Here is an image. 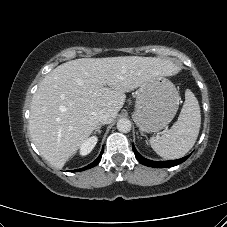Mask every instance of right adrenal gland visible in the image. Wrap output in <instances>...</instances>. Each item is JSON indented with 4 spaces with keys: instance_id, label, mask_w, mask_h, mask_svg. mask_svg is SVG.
<instances>
[{
    "instance_id": "right-adrenal-gland-1",
    "label": "right adrenal gland",
    "mask_w": 227,
    "mask_h": 227,
    "mask_svg": "<svg viewBox=\"0 0 227 227\" xmlns=\"http://www.w3.org/2000/svg\"><path fill=\"white\" fill-rule=\"evenodd\" d=\"M103 124H98V126L95 128V133L98 132V134L100 135L101 134V127H102Z\"/></svg>"
}]
</instances>
